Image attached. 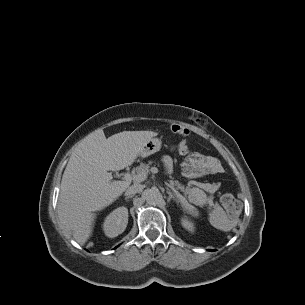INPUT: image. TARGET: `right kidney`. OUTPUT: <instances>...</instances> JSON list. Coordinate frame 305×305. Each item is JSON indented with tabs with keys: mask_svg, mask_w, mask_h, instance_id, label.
I'll use <instances>...</instances> for the list:
<instances>
[{
	"mask_svg": "<svg viewBox=\"0 0 305 305\" xmlns=\"http://www.w3.org/2000/svg\"><path fill=\"white\" fill-rule=\"evenodd\" d=\"M128 223V209L124 206L112 211L104 220L103 231L109 238L123 233Z\"/></svg>",
	"mask_w": 305,
	"mask_h": 305,
	"instance_id": "right-kidney-1",
	"label": "right kidney"
}]
</instances>
